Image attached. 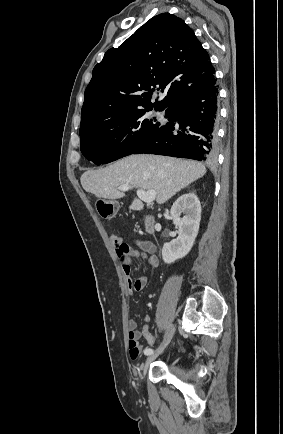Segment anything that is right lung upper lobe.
<instances>
[{
    "label": "right lung upper lobe",
    "mask_w": 283,
    "mask_h": 434,
    "mask_svg": "<svg viewBox=\"0 0 283 434\" xmlns=\"http://www.w3.org/2000/svg\"><path fill=\"white\" fill-rule=\"evenodd\" d=\"M214 71L193 30L173 14H159L94 67L80 130L135 109L168 108L214 85ZM155 90L166 96L153 104Z\"/></svg>",
    "instance_id": "cb5924a9"
}]
</instances>
